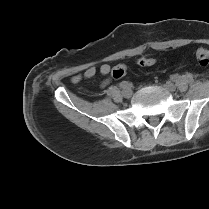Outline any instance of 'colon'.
<instances>
[{"mask_svg":"<svg viewBox=\"0 0 209 209\" xmlns=\"http://www.w3.org/2000/svg\"><path fill=\"white\" fill-rule=\"evenodd\" d=\"M196 60L202 67H209V50L205 48H199L196 51ZM140 66L149 67L155 64V60L152 58H142L138 61ZM126 73V68L123 65L115 66L111 71V76L115 79L123 77Z\"/></svg>","mask_w":209,"mask_h":209,"instance_id":"obj_1","label":"colon"}]
</instances>
